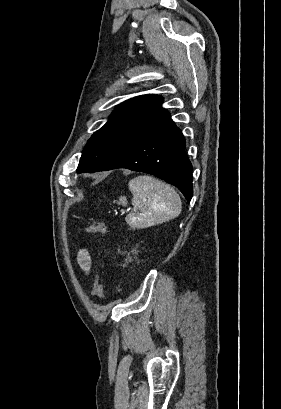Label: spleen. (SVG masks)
I'll list each match as a JSON object with an SVG mask.
<instances>
[{
    "label": "spleen",
    "instance_id": "1",
    "mask_svg": "<svg viewBox=\"0 0 281 409\" xmlns=\"http://www.w3.org/2000/svg\"><path fill=\"white\" fill-rule=\"evenodd\" d=\"M129 188L133 196V211L125 217V221L132 229L161 225L180 215L181 198L166 182L144 174L129 180ZM119 200L122 205H127L126 196H120Z\"/></svg>",
    "mask_w": 281,
    "mask_h": 409
}]
</instances>
